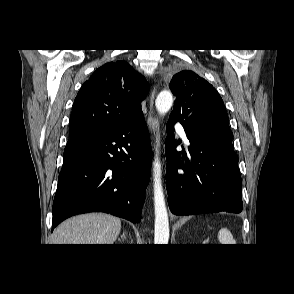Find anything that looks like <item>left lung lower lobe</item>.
I'll return each instance as SVG.
<instances>
[{"label": "left lung lower lobe", "mask_w": 294, "mask_h": 294, "mask_svg": "<svg viewBox=\"0 0 294 294\" xmlns=\"http://www.w3.org/2000/svg\"><path fill=\"white\" fill-rule=\"evenodd\" d=\"M175 121L167 123L166 188L175 215L240 213L242 181L232 138L186 133L189 153L177 152Z\"/></svg>", "instance_id": "1"}]
</instances>
